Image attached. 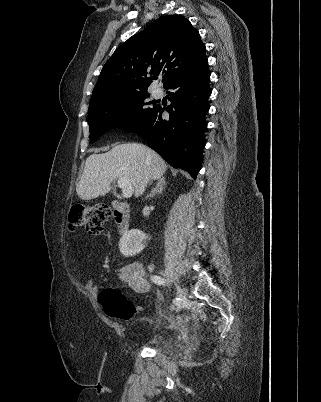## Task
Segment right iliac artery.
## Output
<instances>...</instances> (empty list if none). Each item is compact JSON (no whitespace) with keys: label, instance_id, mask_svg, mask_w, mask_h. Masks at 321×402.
Returning <instances> with one entry per match:
<instances>
[{"label":"right iliac artery","instance_id":"1","mask_svg":"<svg viewBox=\"0 0 321 402\" xmlns=\"http://www.w3.org/2000/svg\"><path fill=\"white\" fill-rule=\"evenodd\" d=\"M151 280L157 284V285H164L165 284V280L163 278H161L160 276L157 275H153L151 276ZM179 298L174 299V303H178L179 302Z\"/></svg>","mask_w":321,"mask_h":402}]
</instances>
